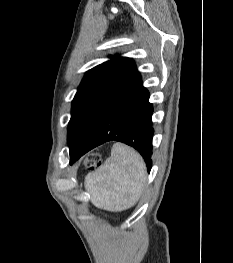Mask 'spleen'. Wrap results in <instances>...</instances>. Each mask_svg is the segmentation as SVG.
Listing matches in <instances>:
<instances>
[{
  "mask_svg": "<svg viewBox=\"0 0 233 263\" xmlns=\"http://www.w3.org/2000/svg\"><path fill=\"white\" fill-rule=\"evenodd\" d=\"M146 184V166L132 148L116 143L111 156L85 177L84 186L97 208L120 212L134 206Z\"/></svg>",
  "mask_w": 233,
  "mask_h": 263,
  "instance_id": "3e777b00",
  "label": "spleen"
}]
</instances>
